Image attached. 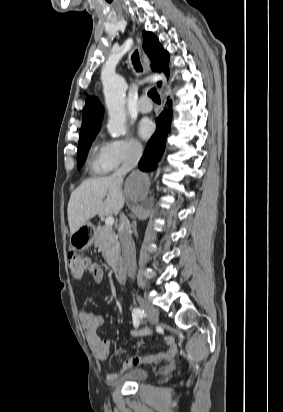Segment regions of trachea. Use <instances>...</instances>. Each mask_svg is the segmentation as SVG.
<instances>
[{
	"label": "trachea",
	"instance_id": "3493384b",
	"mask_svg": "<svg viewBox=\"0 0 283 412\" xmlns=\"http://www.w3.org/2000/svg\"><path fill=\"white\" fill-rule=\"evenodd\" d=\"M132 63L134 65V68L136 69V71L141 72L142 71V66L140 63V59H139V54L138 51H135L132 55ZM148 96L154 101V102H160V96L157 93L156 88H152L149 92H148Z\"/></svg>",
	"mask_w": 283,
	"mask_h": 412
}]
</instances>
